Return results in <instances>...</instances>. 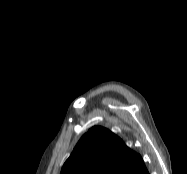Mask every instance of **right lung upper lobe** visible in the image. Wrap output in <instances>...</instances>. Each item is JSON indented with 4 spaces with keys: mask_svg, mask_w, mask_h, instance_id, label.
<instances>
[{
    "mask_svg": "<svg viewBox=\"0 0 187 174\" xmlns=\"http://www.w3.org/2000/svg\"><path fill=\"white\" fill-rule=\"evenodd\" d=\"M61 174H149L139 154L109 130L91 128L77 143Z\"/></svg>",
    "mask_w": 187,
    "mask_h": 174,
    "instance_id": "right-lung-upper-lobe-1",
    "label": "right lung upper lobe"
}]
</instances>
